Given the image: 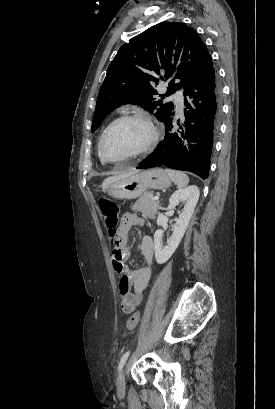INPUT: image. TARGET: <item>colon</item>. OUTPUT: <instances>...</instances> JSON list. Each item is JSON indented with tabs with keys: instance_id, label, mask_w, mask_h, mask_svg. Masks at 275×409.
<instances>
[{
	"instance_id": "obj_1",
	"label": "colon",
	"mask_w": 275,
	"mask_h": 409,
	"mask_svg": "<svg viewBox=\"0 0 275 409\" xmlns=\"http://www.w3.org/2000/svg\"><path fill=\"white\" fill-rule=\"evenodd\" d=\"M99 209L104 216L109 239L112 243H115L119 227V207L114 200L103 196L99 199ZM139 319L140 313L138 311L132 313L127 319V329L130 331L134 330L139 323Z\"/></svg>"
}]
</instances>
